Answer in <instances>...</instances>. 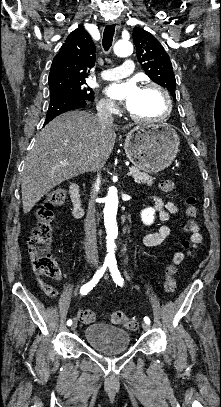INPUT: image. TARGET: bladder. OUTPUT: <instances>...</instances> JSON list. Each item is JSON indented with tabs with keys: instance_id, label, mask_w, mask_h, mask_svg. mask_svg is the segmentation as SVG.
<instances>
[{
	"instance_id": "31cf9c89",
	"label": "bladder",
	"mask_w": 221,
	"mask_h": 407,
	"mask_svg": "<svg viewBox=\"0 0 221 407\" xmlns=\"http://www.w3.org/2000/svg\"><path fill=\"white\" fill-rule=\"evenodd\" d=\"M85 341L105 355H115L126 350L130 343V333L107 323H93L84 331Z\"/></svg>"
}]
</instances>
